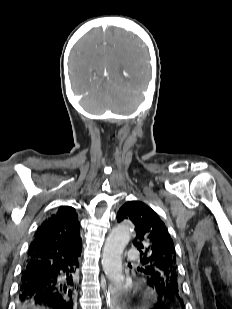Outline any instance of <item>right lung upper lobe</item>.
<instances>
[{
  "mask_svg": "<svg viewBox=\"0 0 232 309\" xmlns=\"http://www.w3.org/2000/svg\"><path fill=\"white\" fill-rule=\"evenodd\" d=\"M80 223L73 207H60L46 218L29 245L27 262L44 268L53 261L73 260L81 254Z\"/></svg>",
  "mask_w": 232,
  "mask_h": 309,
  "instance_id": "cb5924a9",
  "label": "right lung upper lobe"
}]
</instances>
